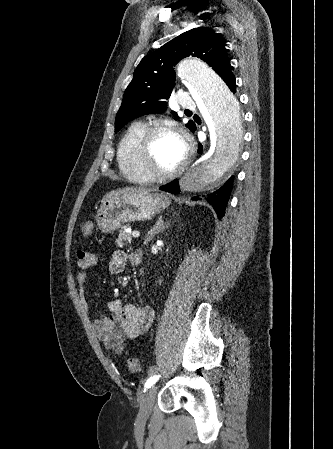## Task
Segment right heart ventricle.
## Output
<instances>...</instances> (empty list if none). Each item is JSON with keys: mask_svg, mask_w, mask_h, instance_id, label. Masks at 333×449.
Instances as JSON below:
<instances>
[{"mask_svg": "<svg viewBox=\"0 0 333 449\" xmlns=\"http://www.w3.org/2000/svg\"><path fill=\"white\" fill-rule=\"evenodd\" d=\"M147 125L137 121L132 123L122 136L118 149V166L124 177L137 183H149V180L141 171L138 162V144Z\"/></svg>", "mask_w": 333, "mask_h": 449, "instance_id": "right-heart-ventricle-1", "label": "right heart ventricle"}]
</instances>
